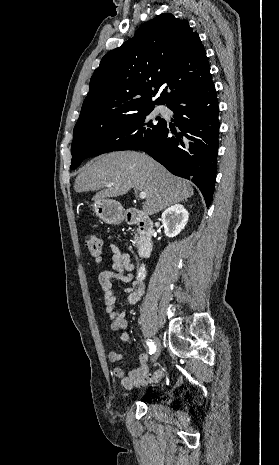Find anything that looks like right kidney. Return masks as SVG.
Returning a JSON list of instances; mask_svg holds the SVG:
<instances>
[{
    "label": "right kidney",
    "mask_w": 279,
    "mask_h": 465,
    "mask_svg": "<svg viewBox=\"0 0 279 465\" xmlns=\"http://www.w3.org/2000/svg\"><path fill=\"white\" fill-rule=\"evenodd\" d=\"M188 211L181 204H175L162 213V224L167 237L177 236L186 226Z\"/></svg>",
    "instance_id": "ca27d5eb"
}]
</instances>
